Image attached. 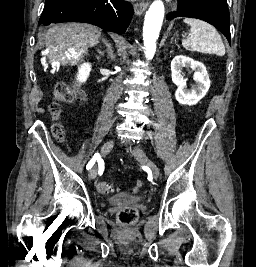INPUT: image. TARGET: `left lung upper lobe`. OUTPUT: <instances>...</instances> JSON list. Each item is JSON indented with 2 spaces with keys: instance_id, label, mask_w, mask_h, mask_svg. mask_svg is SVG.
<instances>
[{
  "instance_id": "left-lung-upper-lobe-1",
  "label": "left lung upper lobe",
  "mask_w": 256,
  "mask_h": 267,
  "mask_svg": "<svg viewBox=\"0 0 256 267\" xmlns=\"http://www.w3.org/2000/svg\"><path fill=\"white\" fill-rule=\"evenodd\" d=\"M179 16L198 18L212 24L225 35L231 45L226 0H179L178 11L169 13L167 19Z\"/></svg>"
}]
</instances>
